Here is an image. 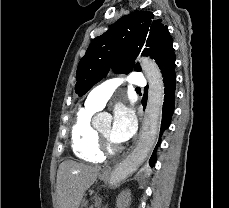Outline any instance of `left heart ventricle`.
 Instances as JSON below:
<instances>
[{
  "instance_id": "b2bd125f",
  "label": "left heart ventricle",
  "mask_w": 229,
  "mask_h": 208,
  "mask_svg": "<svg viewBox=\"0 0 229 208\" xmlns=\"http://www.w3.org/2000/svg\"><path fill=\"white\" fill-rule=\"evenodd\" d=\"M111 126H110V124H107V125H105V126H103L101 129H99L98 131L102 134V135H104V136H106L107 138H109L110 140H112V138H111ZM113 141V140H112Z\"/></svg>"
}]
</instances>
